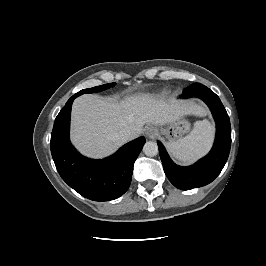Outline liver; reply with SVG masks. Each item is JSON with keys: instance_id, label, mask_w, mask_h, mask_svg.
<instances>
[{"instance_id": "1", "label": "liver", "mask_w": 266, "mask_h": 266, "mask_svg": "<svg viewBox=\"0 0 266 266\" xmlns=\"http://www.w3.org/2000/svg\"><path fill=\"white\" fill-rule=\"evenodd\" d=\"M204 114L193 102H165L149 95H135L116 102L92 94L77 98L72 107L71 138L85 155L103 157L111 154L124 141L118 138L122 129L135 138L145 124L164 125L184 115Z\"/></svg>"}]
</instances>
